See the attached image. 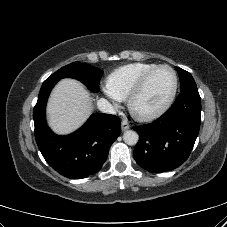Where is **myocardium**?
Returning <instances> with one entry per match:
<instances>
[{
  "mask_svg": "<svg viewBox=\"0 0 227 227\" xmlns=\"http://www.w3.org/2000/svg\"><path fill=\"white\" fill-rule=\"evenodd\" d=\"M162 68H167V69L171 70L174 74L175 81H174V87L172 89L171 94L169 95V97L165 101V103L157 110H155L153 112H149V113L139 112L135 106L136 100L138 99V97L141 95V93L145 89V87H146L149 79L152 77V75L156 71H158L159 69H162ZM178 87H179V76H178L177 71L172 66H170L168 64H159V65L153 67L139 79V81L137 82V84L135 85L133 90L131 91V93L127 99L128 108H129L130 113L132 114V116L134 118H136L139 121H143V122L153 121V120L161 117L172 106V104L175 100V97L177 95Z\"/></svg>",
  "mask_w": 227,
  "mask_h": 227,
  "instance_id": "obj_1",
  "label": "myocardium"
}]
</instances>
